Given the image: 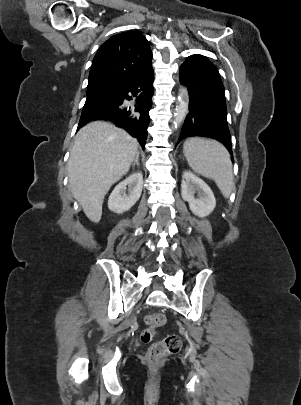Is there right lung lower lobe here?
<instances>
[{"label": "right lung lower lobe", "mask_w": 301, "mask_h": 405, "mask_svg": "<svg viewBox=\"0 0 301 405\" xmlns=\"http://www.w3.org/2000/svg\"><path fill=\"white\" fill-rule=\"evenodd\" d=\"M153 81L154 73L151 62L134 79L125 84L111 101L90 109H83L78 129L90 121L108 120L136 137L144 148L147 127L150 122L149 110L152 106L151 97L154 92ZM132 98H135L136 101L133 108L122 105L125 99L131 100Z\"/></svg>", "instance_id": "98d812e1"}]
</instances>
